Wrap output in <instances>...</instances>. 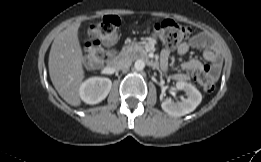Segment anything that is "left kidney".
Masks as SVG:
<instances>
[{
	"instance_id": "5707ae66",
	"label": "left kidney",
	"mask_w": 261,
	"mask_h": 162,
	"mask_svg": "<svg viewBox=\"0 0 261 162\" xmlns=\"http://www.w3.org/2000/svg\"><path fill=\"white\" fill-rule=\"evenodd\" d=\"M176 88L185 91L187 98L176 102L167 99L162 102V109L169 115L176 117L184 116L194 111L202 101L201 93L192 84L184 81H178Z\"/></svg>"
}]
</instances>
